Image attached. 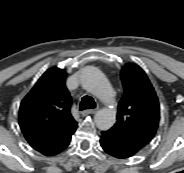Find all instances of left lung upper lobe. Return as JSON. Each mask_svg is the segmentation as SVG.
<instances>
[{
  "mask_svg": "<svg viewBox=\"0 0 184 173\" xmlns=\"http://www.w3.org/2000/svg\"><path fill=\"white\" fill-rule=\"evenodd\" d=\"M124 94L118 104L117 122L109 130L139 152L154 137L159 123V102L148 77L136 64L121 71Z\"/></svg>",
  "mask_w": 184,
  "mask_h": 173,
  "instance_id": "5c2ea615",
  "label": "left lung upper lobe"
}]
</instances>
